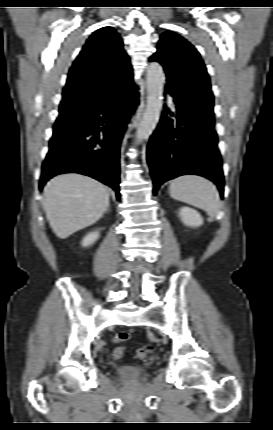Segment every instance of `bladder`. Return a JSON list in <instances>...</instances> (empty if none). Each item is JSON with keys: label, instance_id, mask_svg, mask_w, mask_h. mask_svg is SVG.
Segmentation results:
<instances>
[{"label": "bladder", "instance_id": "1", "mask_svg": "<svg viewBox=\"0 0 273 430\" xmlns=\"http://www.w3.org/2000/svg\"><path fill=\"white\" fill-rule=\"evenodd\" d=\"M145 372L144 367L141 366H120L118 374L125 380H135L140 378Z\"/></svg>", "mask_w": 273, "mask_h": 430}]
</instances>
